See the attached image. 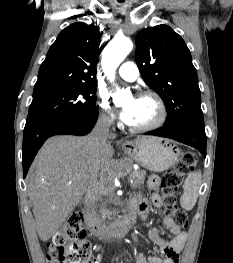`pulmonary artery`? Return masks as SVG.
<instances>
[{
  "label": "pulmonary artery",
  "instance_id": "obj_1",
  "mask_svg": "<svg viewBox=\"0 0 233 263\" xmlns=\"http://www.w3.org/2000/svg\"><path fill=\"white\" fill-rule=\"evenodd\" d=\"M119 76L129 82L135 81L139 76V70L135 63L125 62L118 70Z\"/></svg>",
  "mask_w": 233,
  "mask_h": 263
}]
</instances>
